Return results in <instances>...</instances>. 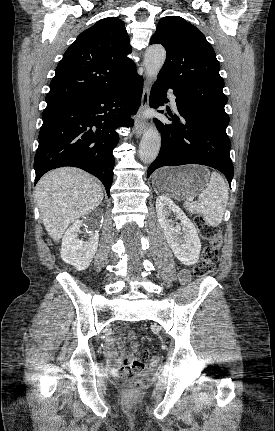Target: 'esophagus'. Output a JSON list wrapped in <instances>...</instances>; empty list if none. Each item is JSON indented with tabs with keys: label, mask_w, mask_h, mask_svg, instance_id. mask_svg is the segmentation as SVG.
<instances>
[{
	"label": "esophagus",
	"mask_w": 275,
	"mask_h": 431,
	"mask_svg": "<svg viewBox=\"0 0 275 431\" xmlns=\"http://www.w3.org/2000/svg\"><path fill=\"white\" fill-rule=\"evenodd\" d=\"M150 90H151V84H150V81L148 80L145 84L143 94H142V99H141V105L139 107V110L135 118V133L137 138H139L142 135V133L146 128V119L144 117V113L149 107Z\"/></svg>",
	"instance_id": "esophagus-1"
}]
</instances>
